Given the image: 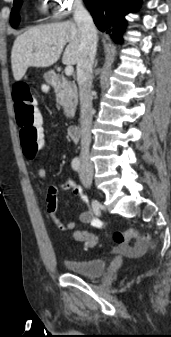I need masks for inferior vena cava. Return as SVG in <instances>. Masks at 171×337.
Wrapping results in <instances>:
<instances>
[{"label":"inferior vena cava","instance_id":"602c4592","mask_svg":"<svg viewBox=\"0 0 171 337\" xmlns=\"http://www.w3.org/2000/svg\"><path fill=\"white\" fill-rule=\"evenodd\" d=\"M74 21L81 31L80 59L77 63V82L80 98L81 152L80 159L89 162L91 143L92 107V72L97 47V31L93 19L79 1L74 9Z\"/></svg>","mask_w":171,"mask_h":337}]
</instances>
